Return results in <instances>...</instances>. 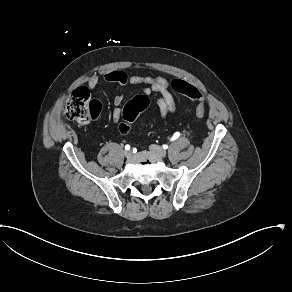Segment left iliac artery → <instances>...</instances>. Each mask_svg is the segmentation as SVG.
I'll return each instance as SVG.
<instances>
[{
  "label": "left iliac artery",
  "mask_w": 292,
  "mask_h": 292,
  "mask_svg": "<svg viewBox=\"0 0 292 292\" xmlns=\"http://www.w3.org/2000/svg\"><path fill=\"white\" fill-rule=\"evenodd\" d=\"M179 136H180V133L179 132H176V133H174V135L172 136V140H176L177 138H179Z\"/></svg>",
  "instance_id": "left-iliac-artery-1"
}]
</instances>
